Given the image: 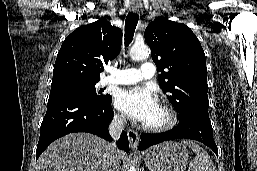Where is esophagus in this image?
Returning a JSON list of instances; mask_svg holds the SVG:
<instances>
[{
    "label": "esophagus",
    "instance_id": "esophagus-1",
    "mask_svg": "<svg viewBox=\"0 0 257 171\" xmlns=\"http://www.w3.org/2000/svg\"><path fill=\"white\" fill-rule=\"evenodd\" d=\"M140 7H141V5L138 2H136V3L133 2L131 4V9L134 12H138ZM127 135H128V138H129L130 147L133 150H136L137 147H138V144H139V135H138V133L135 130H133V129H128Z\"/></svg>",
    "mask_w": 257,
    "mask_h": 171
}]
</instances>
